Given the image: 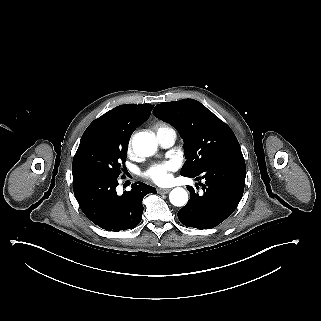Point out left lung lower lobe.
I'll list each match as a JSON object with an SVG mask.
<instances>
[{"instance_id": "1", "label": "left lung lower lobe", "mask_w": 321, "mask_h": 321, "mask_svg": "<svg viewBox=\"0 0 321 321\" xmlns=\"http://www.w3.org/2000/svg\"><path fill=\"white\" fill-rule=\"evenodd\" d=\"M246 176L242 154L223 157L209 163L198 173L186 177L203 179V194L192 186L189 202L178 212V218L186 227L211 229L237 208L244 192Z\"/></svg>"}]
</instances>
